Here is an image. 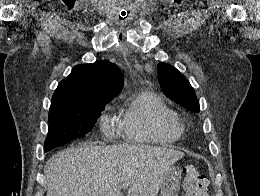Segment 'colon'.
<instances>
[{
  "label": "colon",
  "mask_w": 260,
  "mask_h": 196,
  "mask_svg": "<svg viewBox=\"0 0 260 196\" xmlns=\"http://www.w3.org/2000/svg\"><path fill=\"white\" fill-rule=\"evenodd\" d=\"M210 180L204 173L189 167L183 175V185L186 196H207Z\"/></svg>",
  "instance_id": "5ec220e1"
}]
</instances>
